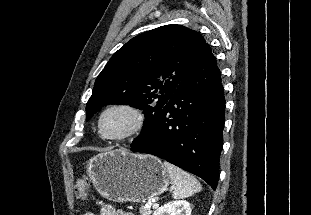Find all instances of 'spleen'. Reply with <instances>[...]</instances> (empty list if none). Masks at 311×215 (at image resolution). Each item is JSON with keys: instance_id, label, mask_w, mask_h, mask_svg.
Masks as SVG:
<instances>
[{"instance_id": "3e777b00", "label": "spleen", "mask_w": 311, "mask_h": 215, "mask_svg": "<svg viewBox=\"0 0 311 215\" xmlns=\"http://www.w3.org/2000/svg\"><path fill=\"white\" fill-rule=\"evenodd\" d=\"M163 166L173 184L174 199H184L202 190L200 182L193 175L169 162H164Z\"/></svg>"}]
</instances>
